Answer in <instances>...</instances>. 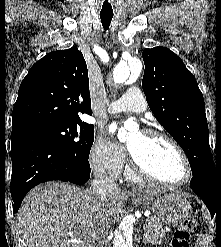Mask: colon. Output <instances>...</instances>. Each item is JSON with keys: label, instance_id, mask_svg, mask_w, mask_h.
<instances>
[{"label": "colon", "instance_id": "5ec220e1", "mask_svg": "<svg viewBox=\"0 0 221 247\" xmlns=\"http://www.w3.org/2000/svg\"><path fill=\"white\" fill-rule=\"evenodd\" d=\"M197 226V219L195 217L187 218L181 227H179L173 236L171 247H189L191 232Z\"/></svg>", "mask_w": 221, "mask_h": 247}]
</instances>
